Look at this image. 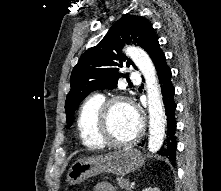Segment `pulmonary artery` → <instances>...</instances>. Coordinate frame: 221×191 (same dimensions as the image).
I'll return each instance as SVG.
<instances>
[{
    "instance_id": "e3ab8cb5",
    "label": "pulmonary artery",
    "mask_w": 221,
    "mask_h": 191,
    "mask_svg": "<svg viewBox=\"0 0 221 191\" xmlns=\"http://www.w3.org/2000/svg\"><path fill=\"white\" fill-rule=\"evenodd\" d=\"M130 78L134 82H139L140 81V77H139V73L138 72H130Z\"/></svg>"
}]
</instances>
